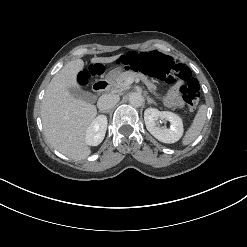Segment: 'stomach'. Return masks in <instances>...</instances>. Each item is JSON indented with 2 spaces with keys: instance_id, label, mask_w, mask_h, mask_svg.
I'll use <instances>...</instances> for the list:
<instances>
[{
  "instance_id": "stomach-1",
  "label": "stomach",
  "mask_w": 247,
  "mask_h": 247,
  "mask_svg": "<svg viewBox=\"0 0 247 247\" xmlns=\"http://www.w3.org/2000/svg\"><path fill=\"white\" fill-rule=\"evenodd\" d=\"M120 70H114V71H111L107 76H106V81L110 84H113L117 77L120 75Z\"/></svg>"
}]
</instances>
